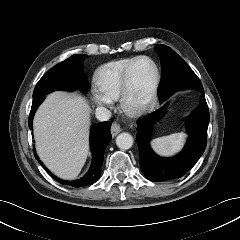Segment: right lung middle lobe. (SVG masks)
<instances>
[{
    "label": "right lung middle lobe",
    "mask_w": 240,
    "mask_h": 240,
    "mask_svg": "<svg viewBox=\"0 0 240 240\" xmlns=\"http://www.w3.org/2000/svg\"><path fill=\"white\" fill-rule=\"evenodd\" d=\"M87 55H72L52 67L36 84L33 98L55 90L72 91L79 87L87 90V78L83 73V62Z\"/></svg>",
    "instance_id": "dd1d6c3e"
}]
</instances>
